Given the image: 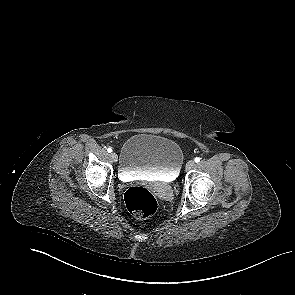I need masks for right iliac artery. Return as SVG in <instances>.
<instances>
[{"instance_id": "obj_1", "label": "right iliac artery", "mask_w": 295, "mask_h": 295, "mask_svg": "<svg viewBox=\"0 0 295 295\" xmlns=\"http://www.w3.org/2000/svg\"><path fill=\"white\" fill-rule=\"evenodd\" d=\"M107 152H108V153H111V152H112V148L109 147V148L107 149Z\"/></svg>"}]
</instances>
